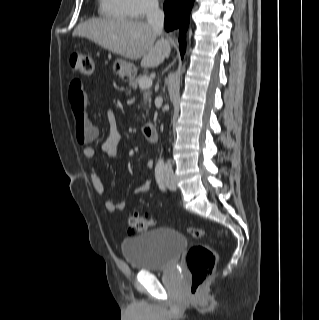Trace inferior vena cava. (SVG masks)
Returning a JSON list of instances; mask_svg holds the SVG:
<instances>
[{"label":"inferior vena cava","instance_id":"1","mask_svg":"<svg viewBox=\"0 0 319 320\" xmlns=\"http://www.w3.org/2000/svg\"><path fill=\"white\" fill-rule=\"evenodd\" d=\"M147 22L153 27L158 34H162L163 32V24H164V13L159 8V4L157 0H152L148 6L147 10ZM165 172L173 174L172 166L170 163H166Z\"/></svg>","mask_w":319,"mask_h":320}]
</instances>
